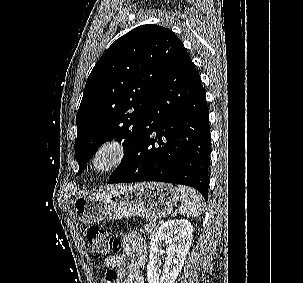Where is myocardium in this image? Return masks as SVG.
<instances>
[{
	"mask_svg": "<svg viewBox=\"0 0 303 283\" xmlns=\"http://www.w3.org/2000/svg\"><path fill=\"white\" fill-rule=\"evenodd\" d=\"M127 146L117 137L103 140L93 151L89 166L93 173L106 175L116 170L125 160Z\"/></svg>",
	"mask_w": 303,
	"mask_h": 283,
	"instance_id": "f54148a6",
	"label": "myocardium"
}]
</instances>
